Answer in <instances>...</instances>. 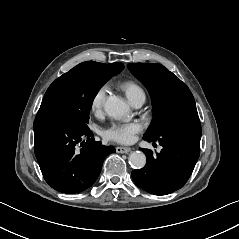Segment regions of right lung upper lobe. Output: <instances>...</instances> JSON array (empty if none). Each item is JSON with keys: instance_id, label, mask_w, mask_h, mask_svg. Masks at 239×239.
I'll list each match as a JSON object with an SVG mask.
<instances>
[{"instance_id": "obj_1", "label": "right lung upper lobe", "mask_w": 239, "mask_h": 239, "mask_svg": "<svg viewBox=\"0 0 239 239\" xmlns=\"http://www.w3.org/2000/svg\"><path fill=\"white\" fill-rule=\"evenodd\" d=\"M77 67L95 69L104 72L111 77L120 73L124 68L122 63L102 64L94 61L80 63L79 65H77Z\"/></svg>"}]
</instances>
